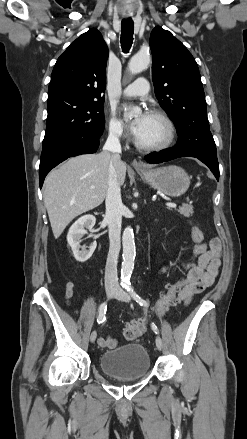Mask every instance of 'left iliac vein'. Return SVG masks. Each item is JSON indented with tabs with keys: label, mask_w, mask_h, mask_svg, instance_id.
Returning <instances> with one entry per match:
<instances>
[{
	"label": "left iliac vein",
	"mask_w": 247,
	"mask_h": 439,
	"mask_svg": "<svg viewBox=\"0 0 247 439\" xmlns=\"http://www.w3.org/2000/svg\"><path fill=\"white\" fill-rule=\"evenodd\" d=\"M114 297L116 299L124 301V302H129L130 301V295L126 291H124V290H122L120 288H118L116 290V293H115ZM155 342H156V346H157L158 350H162V348H163L162 339L159 336H157Z\"/></svg>",
	"instance_id": "obj_1"
}]
</instances>
